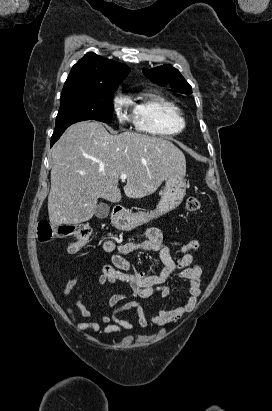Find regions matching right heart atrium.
<instances>
[{"mask_svg": "<svg viewBox=\"0 0 272 411\" xmlns=\"http://www.w3.org/2000/svg\"><path fill=\"white\" fill-rule=\"evenodd\" d=\"M128 108L129 103L125 96L118 94L114 97L112 109L119 124H125L130 120Z\"/></svg>", "mask_w": 272, "mask_h": 411, "instance_id": "d8ad5b80", "label": "right heart atrium"}]
</instances>
